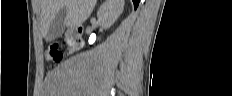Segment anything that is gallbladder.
Masks as SVG:
<instances>
[{
    "label": "gallbladder",
    "instance_id": "gallbladder-1",
    "mask_svg": "<svg viewBox=\"0 0 232 96\" xmlns=\"http://www.w3.org/2000/svg\"><path fill=\"white\" fill-rule=\"evenodd\" d=\"M66 8H62L52 20L47 35L45 37L46 41H52L60 37L64 32V21L66 17Z\"/></svg>",
    "mask_w": 232,
    "mask_h": 96
}]
</instances>
